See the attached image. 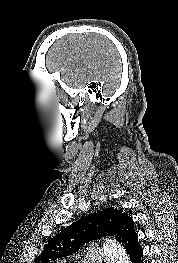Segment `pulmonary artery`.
Instances as JSON below:
<instances>
[{
  "instance_id": "1",
  "label": "pulmonary artery",
  "mask_w": 178,
  "mask_h": 263,
  "mask_svg": "<svg viewBox=\"0 0 178 263\" xmlns=\"http://www.w3.org/2000/svg\"><path fill=\"white\" fill-rule=\"evenodd\" d=\"M86 258L92 263H99L104 260L105 253L101 248H90L86 252Z\"/></svg>"
}]
</instances>
